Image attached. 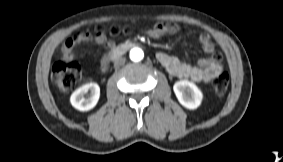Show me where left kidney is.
I'll return each instance as SVG.
<instances>
[{
    "label": "left kidney",
    "instance_id": "5707ae66",
    "mask_svg": "<svg viewBox=\"0 0 283 162\" xmlns=\"http://www.w3.org/2000/svg\"><path fill=\"white\" fill-rule=\"evenodd\" d=\"M173 90L178 101L185 108L194 110L200 106L203 94L194 83L188 80L177 81Z\"/></svg>",
    "mask_w": 283,
    "mask_h": 162
}]
</instances>
